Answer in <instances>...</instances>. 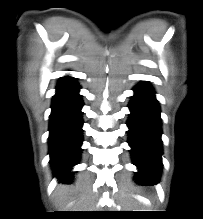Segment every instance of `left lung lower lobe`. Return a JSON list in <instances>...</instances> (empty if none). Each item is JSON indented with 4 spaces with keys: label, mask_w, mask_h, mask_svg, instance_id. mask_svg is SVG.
Instances as JSON below:
<instances>
[{
    "label": "left lung lower lobe",
    "mask_w": 203,
    "mask_h": 219,
    "mask_svg": "<svg viewBox=\"0 0 203 219\" xmlns=\"http://www.w3.org/2000/svg\"><path fill=\"white\" fill-rule=\"evenodd\" d=\"M134 92L128 106L131 114L127 125L132 158L139 169L135 180L155 182L161 174L163 154L160 107L149 84L141 82Z\"/></svg>",
    "instance_id": "0a47b994"
}]
</instances>
